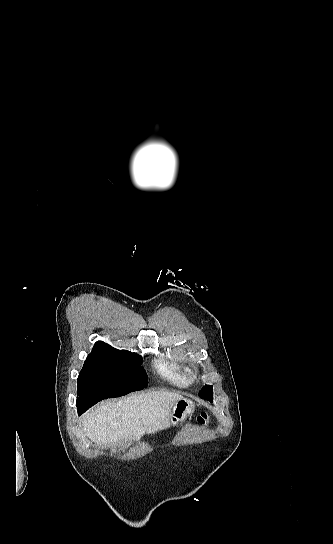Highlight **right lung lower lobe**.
<instances>
[{
    "instance_id": "obj_1",
    "label": "right lung lower lobe",
    "mask_w": 333,
    "mask_h": 544,
    "mask_svg": "<svg viewBox=\"0 0 333 544\" xmlns=\"http://www.w3.org/2000/svg\"><path fill=\"white\" fill-rule=\"evenodd\" d=\"M84 411H82L81 409L78 408V413L81 414L83 413Z\"/></svg>"
}]
</instances>
